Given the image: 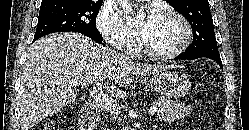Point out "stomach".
<instances>
[{
	"instance_id": "stomach-1",
	"label": "stomach",
	"mask_w": 249,
	"mask_h": 130,
	"mask_svg": "<svg viewBox=\"0 0 249 130\" xmlns=\"http://www.w3.org/2000/svg\"><path fill=\"white\" fill-rule=\"evenodd\" d=\"M144 83L152 90L168 98L183 97L191 88V83L185 75L166 70L145 79Z\"/></svg>"
}]
</instances>
